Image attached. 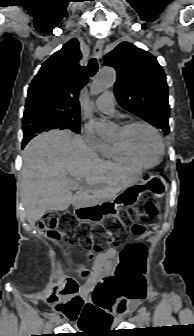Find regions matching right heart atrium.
<instances>
[{"label":"right heart atrium","mask_w":194,"mask_h":336,"mask_svg":"<svg viewBox=\"0 0 194 336\" xmlns=\"http://www.w3.org/2000/svg\"><path fill=\"white\" fill-rule=\"evenodd\" d=\"M86 145L94 152H100L105 144L89 127H84L82 131Z\"/></svg>","instance_id":"1"}]
</instances>
